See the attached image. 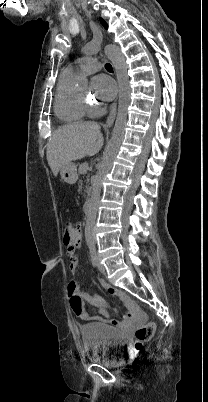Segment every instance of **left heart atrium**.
Returning a JSON list of instances; mask_svg holds the SVG:
<instances>
[{
    "mask_svg": "<svg viewBox=\"0 0 208 402\" xmlns=\"http://www.w3.org/2000/svg\"><path fill=\"white\" fill-rule=\"evenodd\" d=\"M94 81L100 92L99 99L110 101L115 97L117 89L112 78L105 74H100L95 77Z\"/></svg>",
    "mask_w": 208,
    "mask_h": 402,
    "instance_id": "obj_1",
    "label": "left heart atrium"
}]
</instances>
